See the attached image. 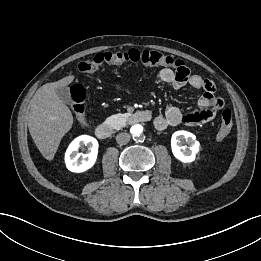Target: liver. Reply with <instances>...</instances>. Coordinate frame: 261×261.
I'll list each match as a JSON object with an SVG mask.
<instances>
[{
  "label": "liver",
  "mask_w": 261,
  "mask_h": 261,
  "mask_svg": "<svg viewBox=\"0 0 261 261\" xmlns=\"http://www.w3.org/2000/svg\"><path fill=\"white\" fill-rule=\"evenodd\" d=\"M74 75L41 86L29 103L28 128L38 150L52 160L63 136L72 128L70 109L59 99L56 89L68 86Z\"/></svg>",
  "instance_id": "obj_1"
}]
</instances>
